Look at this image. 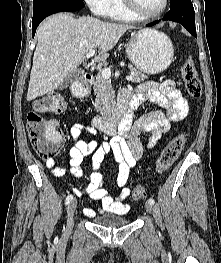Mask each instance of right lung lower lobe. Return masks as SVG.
<instances>
[{"label":"right lung lower lobe","mask_w":221,"mask_h":263,"mask_svg":"<svg viewBox=\"0 0 221 263\" xmlns=\"http://www.w3.org/2000/svg\"><path fill=\"white\" fill-rule=\"evenodd\" d=\"M85 6L84 3H78V4H66V5H57L53 6L44 10H41L37 13H33V25H32V33L33 37L36 32V28L40 24V22L46 18L47 16L58 13V12H73L82 9Z\"/></svg>","instance_id":"1"}]
</instances>
